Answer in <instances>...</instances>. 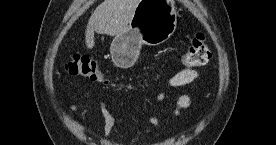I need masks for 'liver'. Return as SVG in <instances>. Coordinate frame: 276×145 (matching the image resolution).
<instances>
[{
    "mask_svg": "<svg viewBox=\"0 0 276 145\" xmlns=\"http://www.w3.org/2000/svg\"><path fill=\"white\" fill-rule=\"evenodd\" d=\"M139 0H104L91 15L86 31L87 48L94 47V33L116 36L127 28Z\"/></svg>",
    "mask_w": 276,
    "mask_h": 145,
    "instance_id": "6515ba94",
    "label": "liver"
}]
</instances>
